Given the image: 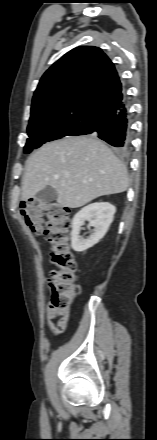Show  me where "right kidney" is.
<instances>
[{
    "label": "right kidney",
    "instance_id": "1",
    "mask_svg": "<svg viewBox=\"0 0 157 440\" xmlns=\"http://www.w3.org/2000/svg\"><path fill=\"white\" fill-rule=\"evenodd\" d=\"M115 212V206L108 202L92 203L82 208L72 221L71 245L73 250L83 252L97 244L113 222ZM85 221L94 227V233L87 239L80 236V229Z\"/></svg>",
    "mask_w": 157,
    "mask_h": 440
}]
</instances>
